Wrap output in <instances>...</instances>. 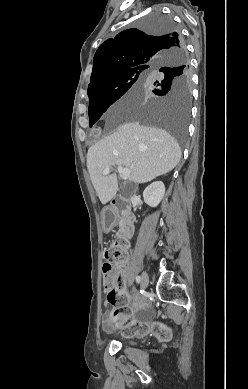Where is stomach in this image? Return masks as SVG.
<instances>
[{"label": "stomach", "mask_w": 248, "mask_h": 389, "mask_svg": "<svg viewBox=\"0 0 248 389\" xmlns=\"http://www.w3.org/2000/svg\"><path fill=\"white\" fill-rule=\"evenodd\" d=\"M104 212L105 213H103L102 214V219L103 220H105L104 221V224L106 225V226H109L110 224H111V221L110 220H114V213H110L111 212V209L109 208V207H106L105 209H104Z\"/></svg>", "instance_id": "obj_1"}]
</instances>
